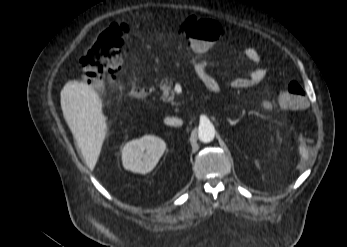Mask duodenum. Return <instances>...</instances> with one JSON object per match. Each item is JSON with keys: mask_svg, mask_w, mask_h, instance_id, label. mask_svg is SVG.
Masks as SVG:
<instances>
[{"mask_svg": "<svg viewBox=\"0 0 347 247\" xmlns=\"http://www.w3.org/2000/svg\"><path fill=\"white\" fill-rule=\"evenodd\" d=\"M151 93V89L144 85H135L130 90V95L135 98H145Z\"/></svg>", "mask_w": 347, "mask_h": 247, "instance_id": "obj_1", "label": "duodenum"}]
</instances>
